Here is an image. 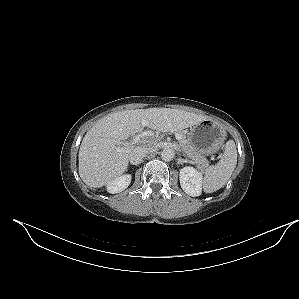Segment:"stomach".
<instances>
[{
    "label": "stomach",
    "instance_id": "1",
    "mask_svg": "<svg viewBox=\"0 0 299 299\" xmlns=\"http://www.w3.org/2000/svg\"><path fill=\"white\" fill-rule=\"evenodd\" d=\"M224 139L223 128L209 119L190 127L188 131V141L204 155L216 153L221 148Z\"/></svg>",
    "mask_w": 299,
    "mask_h": 299
}]
</instances>
